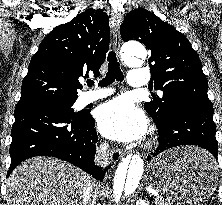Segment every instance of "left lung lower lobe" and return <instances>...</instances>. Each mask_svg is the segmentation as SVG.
Listing matches in <instances>:
<instances>
[{
  "mask_svg": "<svg viewBox=\"0 0 222 205\" xmlns=\"http://www.w3.org/2000/svg\"><path fill=\"white\" fill-rule=\"evenodd\" d=\"M214 110L211 107L198 104H185L176 107L168 120L158 128L159 146L147 160L156 157L163 151L181 145H195L206 149L209 155L208 163L217 160L218 146L215 137L216 126L213 121Z\"/></svg>",
  "mask_w": 222,
  "mask_h": 205,
  "instance_id": "1",
  "label": "left lung lower lobe"
}]
</instances>
